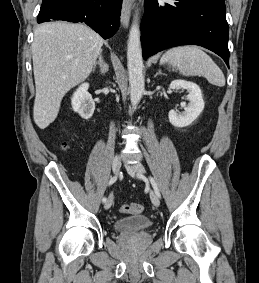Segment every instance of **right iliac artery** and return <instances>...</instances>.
<instances>
[{
  "instance_id": "obj_1",
  "label": "right iliac artery",
  "mask_w": 259,
  "mask_h": 283,
  "mask_svg": "<svg viewBox=\"0 0 259 283\" xmlns=\"http://www.w3.org/2000/svg\"><path fill=\"white\" fill-rule=\"evenodd\" d=\"M116 180H117V176L112 177V178L110 179L108 185H109V186L112 185L113 183L116 182ZM106 201H107V198H106V197H103L102 202H103V203H106Z\"/></svg>"
}]
</instances>
